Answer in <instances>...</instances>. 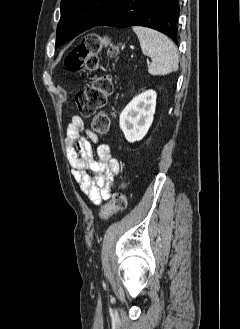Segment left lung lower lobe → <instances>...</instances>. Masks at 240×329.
<instances>
[{"label": "left lung lower lobe", "instance_id": "obj_1", "mask_svg": "<svg viewBox=\"0 0 240 329\" xmlns=\"http://www.w3.org/2000/svg\"><path fill=\"white\" fill-rule=\"evenodd\" d=\"M179 12L178 0H119L95 26H145L177 42Z\"/></svg>", "mask_w": 240, "mask_h": 329}]
</instances>
